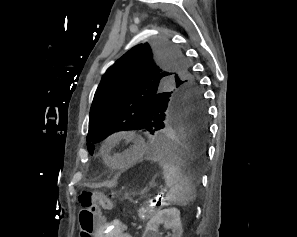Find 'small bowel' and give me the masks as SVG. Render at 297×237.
Here are the masks:
<instances>
[{
    "mask_svg": "<svg viewBox=\"0 0 297 237\" xmlns=\"http://www.w3.org/2000/svg\"><path fill=\"white\" fill-rule=\"evenodd\" d=\"M96 237H133L127 232L126 226L119 220H112L102 224Z\"/></svg>",
    "mask_w": 297,
    "mask_h": 237,
    "instance_id": "small-bowel-1",
    "label": "small bowel"
}]
</instances>
